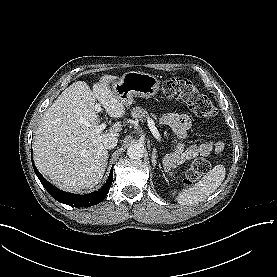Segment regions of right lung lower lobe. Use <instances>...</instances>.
Wrapping results in <instances>:
<instances>
[{"instance_id": "98d812e1", "label": "right lung lower lobe", "mask_w": 277, "mask_h": 277, "mask_svg": "<svg viewBox=\"0 0 277 277\" xmlns=\"http://www.w3.org/2000/svg\"><path fill=\"white\" fill-rule=\"evenodd\" d=\"M32 164H33L35 174L38 176L43 187L48 191V193L57 201L73 207H90L100 203L107 196L113 181V168H112L110 171L108 180L106 181L104 186L98 191L90 193L88 195L67 193L57 189L51 183H49L37 170L36 166L34 165L33 159H32Z\"/></svg>"}]
</instances>
